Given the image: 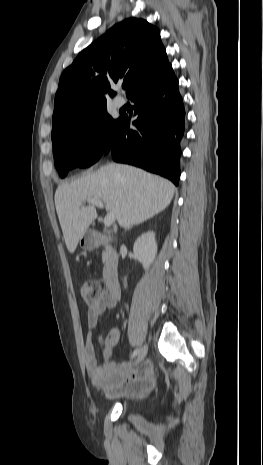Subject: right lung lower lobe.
Returning a JSON list of instances; mask_svg holds the SVG:
<instances>
[{"instance_id":"right-lung-lower-lobe-1","label":"right lung lower lobe","mask_w":263,"mask_h":465,"mask_svg":"<svg viewBox=\"0 0 263 465\" xmlns=\"http://www.w3.org/2000/svg\"><path fill=\"white\" fill-rule=\"evenodd\" d=\"M129 97L138 115L136 129L129 128L128 116H121L105 154L110 150L116 162L142 167L178 185L185 110L171 65Z\"/></svg>"}]
</instances>
